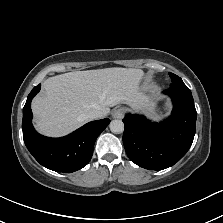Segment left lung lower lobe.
I'll list each match as a JSON object with an SVG mask.
<instances>
[{
  "mask_svg": "<svg viewBox=\"0 0 223 223\" xmlns=\"http://www.w3.org/2000/svg\"><path fill=\"white\" fill-rule=\"evenodd\" d=\"M173 102L171 116L152 123L144 116L127 114L123 119V143L130 160L149 170L174 165L189 150L196 129V109L189 89L169 88L163 91Z\"/></svg>",
  "mask_w": 223,
  "mask_h": 223,
  "instance_id": "left-lung-lower-lobe-1",
  "label": "left lung lower lobe"
}]
</instances>
